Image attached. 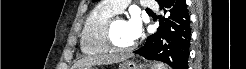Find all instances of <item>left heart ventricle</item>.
<instances>
[{"instance_id":"b2bd125f","label":"left heart ventricle","mask_w":246,"mask_h":69,"mask_svg":"<svg viewBox=\"0 0 246 69\" xmlns=\"http://www.w3.org/2000/svg\"><path fill=\"white\" fill-rule=\"evenodd\" d=\"M112 39L118 46H131L135 42L129 34L125 21H117L114 24Z\"/></svg>"}]
</instances>
